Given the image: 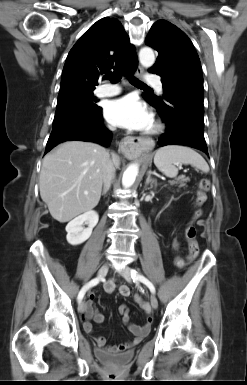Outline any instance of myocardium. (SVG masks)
Instances as JSON below:
<instances>
[{
    "label": "myocardium",
    "instance_id": "1",
    "mask_svg": "<svg viewBox=\"0 0 247 385\" xmlns=\"http://www.w3.org/2000/svg\"><path fill=\"white\" fill-rule=\"evenodd\" d=\"M162 129H163V125L161 124V122L157 119H154L151 127L147 131V134L148 135H155V134L159 133Z\"/></svg>",
    "mask_w": 247,
    "mask_h": 385
}]
</instances>
